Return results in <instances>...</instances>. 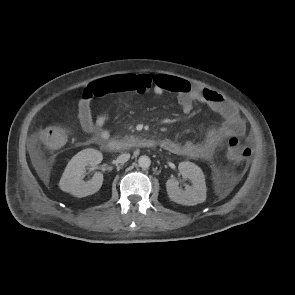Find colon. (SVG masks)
Wrapping results in <instances>:
<instances>
[{
  "label": "colon",
  "instance_id": "1",
  "mask_svg": "<svg viewBox=\"0 0 295 295\" xmlns=\"http://www.w3.org/2000/svg\"><path fill=\"white\" fill-rule=\"evenodd\" d=\"M42 143L49 149H58L66 142V134L63 130L55 127L46 128L39 135ZM227 157L237 164L239 172H242L252 155V151L243 145L238 138H230L227 142Z\"/></svg>",
  "mask_w": 295,
  "mask_h": 295
}]
</instances>
